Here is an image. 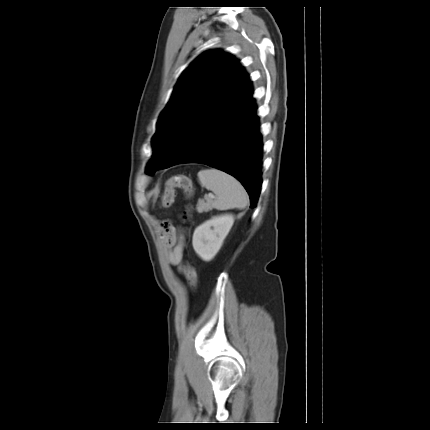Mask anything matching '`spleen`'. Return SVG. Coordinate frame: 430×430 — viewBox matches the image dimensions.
Wrapping results in <instances>:
<instances>
[{"label": "spleen", "instance_id": "spleen-1", "mask_svg": "<svg viewBox=\"0 0 430 430\" xmlns=\"http://www.w3.org/2000/svg\"><path fill=\"white\" fill-rule=\"evenodd\" d=\"M198 179L202 186L216 194L212 202L213 208L228 210L247 207L248 195L233 176L217 169H202L198 172Z\"/></svg>", "mask_w": 430, "mask_h": 430}]
</instances>
